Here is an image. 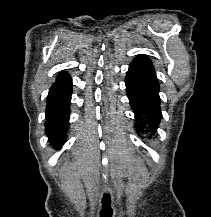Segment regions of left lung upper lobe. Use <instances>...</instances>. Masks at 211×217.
<instances>
[{
	"label": "left lung upper lobe",
	"mask_w": 211,
	"mask_h": 217,
	"mask_svg": "<svg viewBox=\"0 0 211 217\" xmlns=\"http://www.w3.org/2000/svg\"><path fill=\"white\" fill-rule=\"evenodd\" d=\"M131 64L143 68L156 76L152 62L144 55H138V57H136Z\"/></svg>",
	"instance_id": "left-lung-upper-lobe-1"
}]
</instances>
